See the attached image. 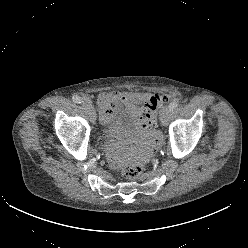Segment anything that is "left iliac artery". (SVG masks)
I'll return each instance as SVG.
<instances>
[{"label": "left iliac artery", "mask_w": 248, "mask_h": 248, "mask_svg": "<svg viewBox=\"0 0 248 248\" xmlns=\"http://www.w3.org/2000/svg\"><path fill=\"white\" fill-rule=\"evenodd\" d=\"M178 104H179V101L175 99L170 103L169 107L171 110H174L175 108H177Z\"/></svg>", "instance_id": "1"}]
</instances>
